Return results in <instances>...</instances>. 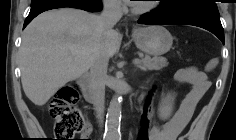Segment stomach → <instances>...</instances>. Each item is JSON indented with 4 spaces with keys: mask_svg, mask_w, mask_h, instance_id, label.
I'll list each match as a JSON object with an SVG mask.
<instances>
[{
    "mask_svg": "<svg viewBox=\"0 0 236 140\" xmlns=\"http://www.w3.org/2000/svg\"><path fill=\"white\" fill-rule=\"evenodd\" d=\"M132 37L137 48L154 56L167 53L173 43L169 31L158 25L137 28L133 31Z\"/></svg>",
    "mask_w": 236,
    "mask_h": 140,
    "instance_id": "1",
    "label": "stomach"
}]
</instances>
